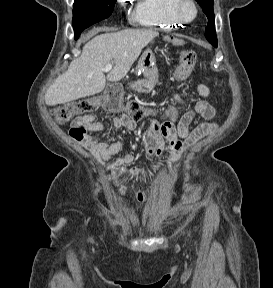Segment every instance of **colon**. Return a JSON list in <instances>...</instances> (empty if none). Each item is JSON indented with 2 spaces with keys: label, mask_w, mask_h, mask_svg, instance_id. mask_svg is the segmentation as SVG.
<instances>
[{
  "label": "colon",
  "mask_w": 273,
  "mask_h": 288,
  "mask_svg": "<svg viewBox=\"0 0 273 288\" xmlns=\"http://www.w3.org/2000/svg\"><path fill=\"white\" fill-rule=\"evenodd\" d=\"M196 63V53L193 50H184L180 54V65L176 69V76L179 79H186L193 71ZM105 107L110 111L125 109L130 114H136L141 107L136 103L121 102L116 93H111L104 101ZM99 105L98 99H81L60 107L52 111L53 119L65 124L71 122L76 117H82L94 111ZM86 133L84 124L72 126L70 135L74 139L82 138Z\"/></svg>",
  "instance_id": "1"
}]
</instances>
